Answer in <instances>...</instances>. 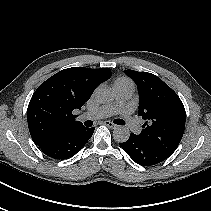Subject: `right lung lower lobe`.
I'll list each match as a JSON object with an SVG mask.
<instances>
[{
	"mask_svg": "<svg viewBox=\"0 0 211 211\" xmlns=\"http://www.w3.org/2000/svg\"><path fill=\"white\" fill-rule=\"evenodd\" d=\"M95 128L84 126L61 132L44 145L39 146L42 152L54 159H69L87 143Z\"/></svg>",
	"mask_w": 211,
	"mask_h": 211,
	"instance_id": "obj_1",
	"label": "right lung lower lobe"
}]
</instances>
